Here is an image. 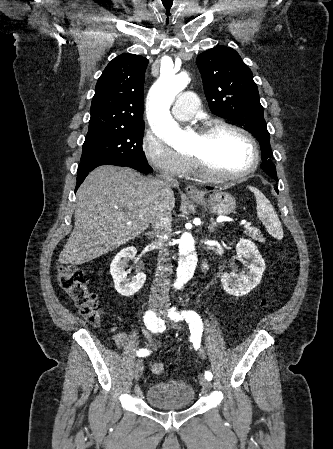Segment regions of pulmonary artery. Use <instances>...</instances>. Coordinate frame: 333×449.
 I'll return each instance as SVG.
<instances>
[{
  "instance_id": "e3ab8cb5",
  "label": "pulmonary artery",
  "mask_w": 333,
  "mask_h": 449,
  "mask_svg": "<svg viewBox=\"0 0 333 449\" xmlns=\"http://www.w3.org/2000/svg\"><path fill=\"white\" fill-rule=\"evenodd\" d=\"M198 107V98L194 92L187 91L178 95L172 107V115L177 120L185 121L192 118Z\"/></svg>"
}]
</instances>
